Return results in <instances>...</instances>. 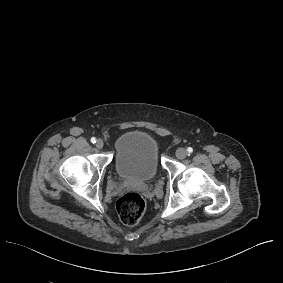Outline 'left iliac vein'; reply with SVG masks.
<instances>
[{"label":"left iliac vein","mask_w":283,"mask_h":283,"mask_svg":"<svg viewBox=\"0 0 283 283\" xmlns=\"http://www.w3.org/2000/svg\"><path fill=\"white\" fill-rule=\"evenodd\" d=\"M187 150L185 148H178L176 150V156L179 158V159H184L186 156H187Z\"/></svg>","instance_id":"1"}]
</instances>
